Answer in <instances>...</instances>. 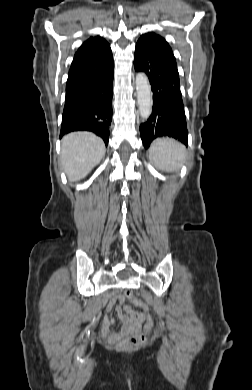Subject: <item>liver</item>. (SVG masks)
<instances>
[{
  "mask_svg": "<svg viewBox=\"0 0 252 390\" xmlns=\"http://www.w3.org/2000/svg\"><path fill=\"white\" fill-rule=\"evenodd\" d=\"M105 144L90 132H73L62 139L61 163L70 181H78L100 163Z\"/></svg>",
  "mask_w": 252,
  "mask_h": 390,
  "instance_id": "obj_1",
  "label": "liver"
}]
</instances>
